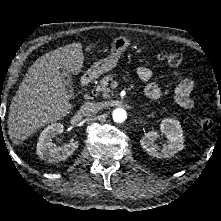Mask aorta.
Returning <instances> with one entry per match:
<instances>
[{
  "mask_svg": "<svg viewBox=\"0 0 221 221\" xmlns=\"http://www.w3.org/2000/svg\"><path fill=\"white\" fill-rule=\"evenodd\" d=\"M114 122L123 123L127 118V113L123 108H116L112 112Z\"/></svg>",
  "mask_w": 221,
  "mask_h": 221,
  "instance_id": "aorta-1",
  "label": "aorta"
}]
</instances>
